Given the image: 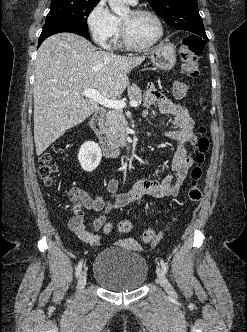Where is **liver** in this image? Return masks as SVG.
Returning <instances> with one entry per match:
<instances>
[{"instance_id": "liver-1", "label": "liver", "mask_w": 247, "mask_h": 332, "mask_svg": "<svg viewBox=\"0 0 247 332\" xmlns=\"http://www.w3.org/2000/svg\"><path fill=\"white\" fill-rule=\"evenodd\" d=\"M144 59L97 51L88 40L73 33L47 38L35 61L36 154L41 155L97 110L96 101L84 98V89H96L106 98L120 96L129 84L127 74Z\"/></svg>"}]
</instances>
